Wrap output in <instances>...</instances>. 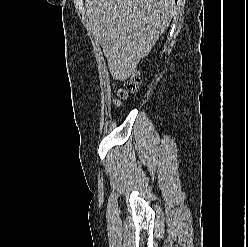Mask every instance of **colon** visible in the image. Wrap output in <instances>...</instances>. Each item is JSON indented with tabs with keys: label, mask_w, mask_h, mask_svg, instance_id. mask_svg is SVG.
Here are the masks:
<instances>
[{
	"label": "colon",
	"mask_w": 248,
	"mask_h": 247,
	"mask_svg": "<svg viewBox=\"0 0 248 247\" xmlns=\"http://www.w3.org/2000/svg\"><path fill=\"white\" fill-rule=\"evenodd\" d=\"M139 85V77L137 74L133 75L117 93V98L115 100L116 104L119 105L123 100H125L129 94L136 92Z\"/></svg>",
	"instance_id": "obj_1"
}]
</instances>
